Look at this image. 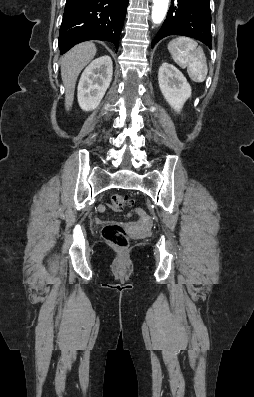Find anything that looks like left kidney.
Segmentation results:
<instances>
[{
    "mask_svg": "<svg viewBox=\"0 0 254 397\" xmlns=\"http://www.w3.org/2000/svg\"><path fill=\"white\" fill-rule=\"evenodd\" d=\"M158 83L168 104L180 112L186 100L191 97V86L184 75L175 66L164 62L159 68Z\"/></svg>",
    "mask_w": 254,
    "mask_h": 397,
    "instance_id": "1",
    "label": "left kidney"
}]
</instances>
